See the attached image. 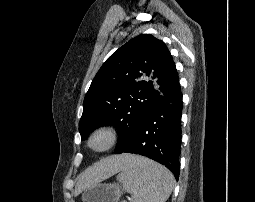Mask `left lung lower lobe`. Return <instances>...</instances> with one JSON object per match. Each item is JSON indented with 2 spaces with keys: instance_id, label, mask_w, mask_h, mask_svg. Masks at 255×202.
<instances>
[{
  "instance_id": "left-lung-lower-lobe-1",
  "label": "left lung lower lobe",
  "mask_w": 255,
  "mask_h": 202,
  "mask_svg": "<svg viewBox=\"0 0 255 202\" xmlns=\"http://www.w3.org/2000/svg\"><path fill=\"white\" fill-rule=\"evenodd\" d=\"M182 93L180 88L163 97L147 114L134 136L119 153L149 157L179 178Z\"/></svg>"
}]
</instances>
